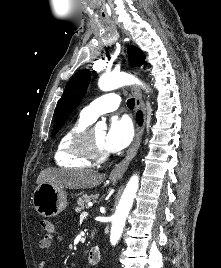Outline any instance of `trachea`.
<instances>
[{"label": "trachea", "mask_w": 221, "mask_h": 268, "mask_svg": "<svg viewBox=\"0 0 221 268\" xmlns=\"http://www.w3.org/2000/svg\"><path fill=\"white\" fill-rule=\"evenodd\" d=\"M134 105H135V99L134 98H130L128 101H127V106L129 109H133L134 108Z\"/></svg>", "instance_id": "1"}]
</instances>
